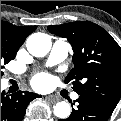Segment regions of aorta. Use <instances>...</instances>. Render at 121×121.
Wrapping results in <instances>:
<instances>
[{
    "label": "aorta",
    "mask_w": 121,
    "mask_h": 121,
    "mask_svg": "<svg viewBox=\"0 0 121 121\" xmlns=\"http://www.w3.org/2000/svg\"><path fill=\"white\" fill-rule=\"evenodd\" d=\"M50 36L45 33H34L27 39V50L35 57L45 56L51 49ZM54 114L60 119H65L70 115V105L61 101L54 106Z\"/></svg>",
    "instance_id": "762f6f07"
}]
</instances>
